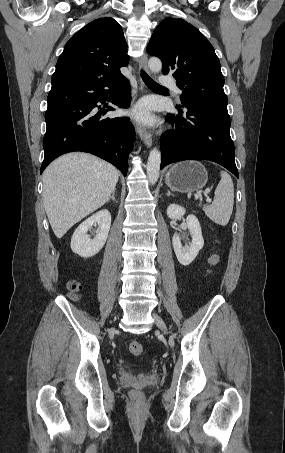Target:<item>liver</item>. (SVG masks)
Segmentation results:
<instances>
[{
  "instance_id": "1",
  "label": "liver",
  "mask_w": 285,
  "mask_h": 453,
  "mask_svg": "<svg viewBox=\"0 0 285 453\" xmlns=\"http://www.w3.org/2000/svg\"><path fill=\"white\" fill-rule=\"evenodd\" d=\"M118 170L91 154L75 152L54 160L43 173V202L57 238L103 206L118 182Z\"/></svg>"
}]
</instances>
